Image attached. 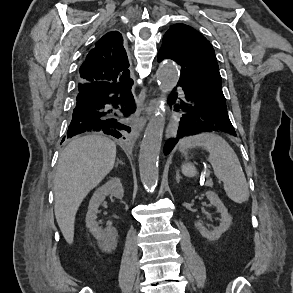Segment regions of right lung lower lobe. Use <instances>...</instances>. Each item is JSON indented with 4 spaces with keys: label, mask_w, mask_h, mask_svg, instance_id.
<instances>
[{
    "label": "right lung lower lobe",
    "mask_w": 293,
    "mask_h": 293,
    "mask_svg": "<svg viewBox=\"0 0 293 293\" xmlns=\"http://www.w3.org/2000/svg\"><path fill=\"white\" fill-rule=\"evenodd\" d=\"M132 84L131 79L123 82L79 83L72 120L65 138L86 131H101L125 139L130 128L123 124L121 118L135 110Z\"/></svg>",
    "instance_id": "obj_1"
}]
</instances>
